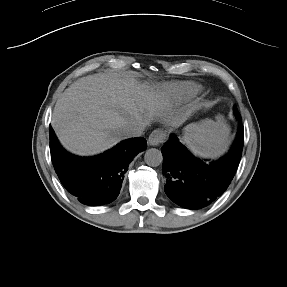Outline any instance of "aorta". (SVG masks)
I'll use <instances>...</instances> for the list:
<instances>
[{"label":"aorta","mask_w":287,"mask_h":287,"mask_svg":"<svg viewBox=\"0 0 287 287\" xmlns=\"http://www.w3.org/2000/svg\"><path fill=\"white\" fill-rule=\"evenodd\" d=\"M144 161L148 166L157 167L163 161V156L160 150L150 148L145 152Z\"/></svg>","instance_id":"aorta-1"}]
</instances>
